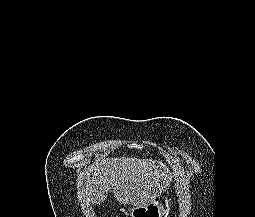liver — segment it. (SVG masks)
Masks as SVG:
<instances>
[{"mask_svg": "<svg viewBox=\"0 0 255 217\" xmlns=\"http://www.w3.org/2000/svg\"><path fill=\"white\" fill-rule=\"evenodd\" d=\"M172 178L160 161L133 157H117L93 165L78 184L81 204H100L110 189L123 205L145 206L167 190Z\"/></svg>", "mask_w": 255, "mask_h": 217, "instance_id": "1", "label": "liver"}]
</instances>
